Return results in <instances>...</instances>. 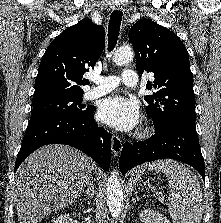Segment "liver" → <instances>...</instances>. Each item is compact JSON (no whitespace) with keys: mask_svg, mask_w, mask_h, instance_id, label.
Masks as SVG:
<instances>
[{"mask_svg":"<svg viewBox=\"0 0 221 223\" xmlns=\"http://www.w3.org/2000/svg\"><path fill=\"white\" fill-rule=\"evenodd\" d=\"M92 160L75 148L47 145L18 168L14 199L19 223H41L75 202L91 178Z\"/></svg>","mask_w":221,"mask_h":223,"instance_id":"obj_1","label":"liver"}]
</instances>
